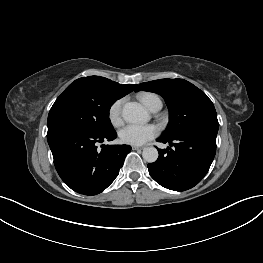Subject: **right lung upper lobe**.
<instances>
[{
	"label": "right lung upper lobe",
	"mask_w": 263,
	"mask_h": 263,
	"mask_svg": "<svg viewBox=\"0 0 263 263\" xmlns=\"http://www.w3.org/2000/svg\"><path fill=\"white\" fill-rule=\"evenodd\" d=\"M75 82H84V83L92 84L112 94L118 99L122 98L123 96L133 91L134 88L137 86L136 84L121 85L117 82L99 76L83 77L75 80Z\"/></svg>",
	"instance_id": "cb5924a9"
}]
</instances>
